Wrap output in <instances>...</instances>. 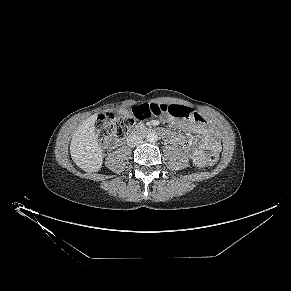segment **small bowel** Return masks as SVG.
<instances>
[{"mask_svg": "<svg viewBox=\"0 0 291 291\" xmlns=\"http://www.w3.org/2000/svg\"><path fill=\"white\" fill-rule=\"evenodd\" d=\"M158 123V121L153 120L149 124L154 126ZM165 123L193 134L192 137H187L183 133L170 130H162L161 132L168 142L185 147L189 157L199 167L206 164L205 151H219L220 149V140L217 133L207 125V122L201 116L198 119L181 120L168 115L165 118Z\"/></svg>", "mask_w": 291, "mask_h": 291, "instance_id": "small-bowel-1", "label": "small bowel"}]
</instances>
